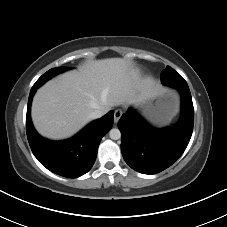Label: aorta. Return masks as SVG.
<instances>
[{"label":"aorta","mask_w":227,"mask_h":227,"mask_svg":"<svg viewBox=\"0 0 227 227\" xmlns=\"http://www.w3.org/2000/svg\"><path fill=\"white\" fill-rule=\"evenodd\" d=\"M109 136L112 140H118L121 138V132L117 128H113L109 131Z\"/></svg>","instance_id":"762f6f07"}]
</instances>
